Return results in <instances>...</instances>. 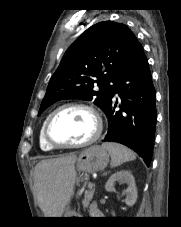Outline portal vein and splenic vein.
Instances as JSON below:
<instances>
[{
  "mask_svg": "<svg viewBox=\"0 0 181 227\" xmlns=\"http://www.w3.org/2000/svg\"><path fill=\"white\" fill-rule=\"evenodd\" d=\"M94 184L93 183H89V188H93Z\"/></svg>",
  "mask_w": 181,
  "mask_h": 227,
  "instance_id": "obj_1",
  "label": "portal vein and splenic vein"
}]
</instances>
